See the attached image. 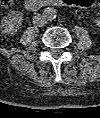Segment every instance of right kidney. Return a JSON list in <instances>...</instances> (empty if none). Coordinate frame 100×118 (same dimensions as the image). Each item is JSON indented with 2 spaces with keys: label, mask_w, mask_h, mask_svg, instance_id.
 <instances>
[{
  "label": "right kidney",
  "mask_w": 100,
  "mask_h": 118,
  "mask_svg": "<svg viewBox=\"0 0 100 118\" xmlns=\"http://www.w3.org/2000/svg\"><path fill=\"white\" fill-rule=\"evenodd\" d=\"M17 31V27H15L13 21H8L5 24V33L13 34Z\"/></svg>",
  "instance_id": "1"
}]
</instances>
